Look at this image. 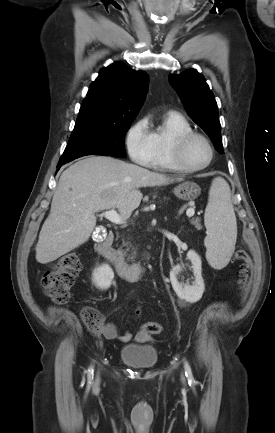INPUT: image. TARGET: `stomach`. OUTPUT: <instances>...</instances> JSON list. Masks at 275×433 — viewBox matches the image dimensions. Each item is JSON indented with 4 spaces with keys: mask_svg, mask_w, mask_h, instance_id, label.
Listing matches in <instances>:
<instances>
[{
    "mask_svg": "<svg viewBox=\"0 0 275 433\" xmlns=\"http://www.w3.org/2000/svg\"><path fill=\"white\" fill-rule=\"evenodd\" d=\"M177 198L185 201L195 200L201 193V188L194 182H183L174 188Z\"/></svg>",
    "mask_w": 275,
    "mask_h": 433,
    "instance_id": "obj_1",
    "label": "stomach"
}]
</instances>
